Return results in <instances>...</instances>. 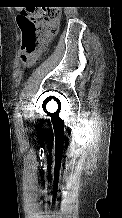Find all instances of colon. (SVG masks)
I'll return each mask as SVG.
<instances>
[{"mask_svg":"<svg viewBox=\"0 0 122 218\" xmlns=\"http://www.w3.org/2000/svg\"><path fill=\"white\" fill-rule=\"evenodd\" d=\"M60 10L56 7H35L25 9L19 15L22 29L23 63H32L48 40L57 33Z\"/></svg>","mask_w":122,"mask_h":218,"instance_id":"1","label":"colon"}]
</instances>
